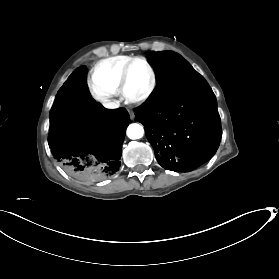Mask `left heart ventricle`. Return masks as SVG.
<instances>
[{"mask_svg": "<svg viewBox=\"0 0 279 279\" xmlns=\"http://www.w3.org/2000/svg\"><path fill=\"white\" fill-rule=\"evenodd\" d=\"M151 83V75L148 68L142 62L132 65L128 80L127 92L130 96L137 97L144 94Z\"/></svg>", "mask_w": 279, "mask_h": 279, "instance_id": "1", "label": "left heart ventricle"}]
</instances>
